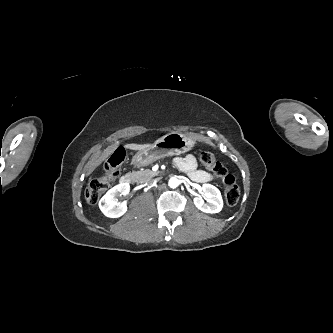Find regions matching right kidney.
Instances as JSON below:
<instances>
[{
    "mask_svg": "<svg viewBox=\"0 0 333 333\" xmlns=\"http://www.w3.org/2000/svg\"><path fill=\"white\" fill-rule=\"evenodd\" d=\"M130 191V184L122 182L111 188L100 200L99 208L103 214L110 218H118L127 211L126 201L118 202V197L127 195Z\"/></svg>",
    "mask_w": 333,
    "mask_h": 333,
    "instance_id": "1",
    "label": "right kidney"
}]
</instances>
